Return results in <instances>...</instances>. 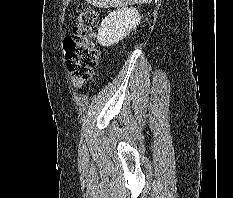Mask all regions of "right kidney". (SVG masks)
Returning a JSON list of instances; mask_svg holds the SVG:
<instances>
[{"instance_id": "right-kidney-1", "label": "right kidney", "mask_w": 233, "mask_h": 198, "mask_svg": "<svg viewBox=\"0 0 233 198\" xmlns=\"http://www.w3.org/2000/svg\"><path fill=\"white\" fill-rule=\"evenodd\" d=\"M141 17L136 8L123 7L110 12L101 22L97 42L108 47L124 39L140 24Z\"/></svg>"}]
</instances>
